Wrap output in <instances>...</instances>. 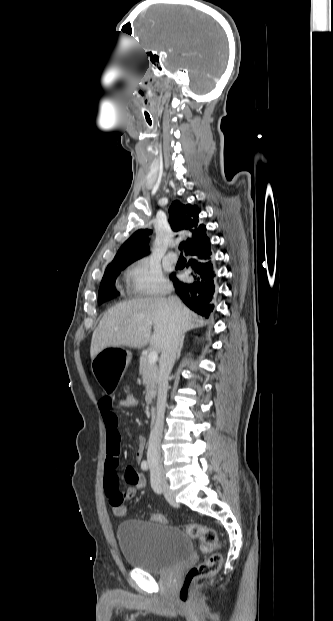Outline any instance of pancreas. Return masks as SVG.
Wrapping results in <instances>:
<instances>
[{"instance_id":"pancreas-1","label":"pancreas","mask_w":333,"mask_h":621,"mask_svg":"<svg viewBox=\"0 0 333 621\" xmlns=\"http://www.w3.org/2000/svg\"><path fill=\"white\" fill-rule=\"evenodd\" d=\"M139 374L142 376L143 383L146 385L145 400L149 403L156 395L158 369L156 364L149 363L148 356L140 357Z\"/></svg>"}]
</instances>
